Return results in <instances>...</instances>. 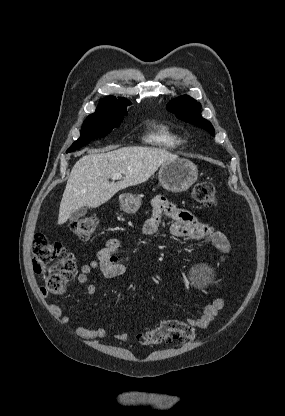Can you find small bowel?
<instances>
[{
	"label": "small bowel",
	"instance_id": "1",
	"mask_svg": "<svg viewBox=\"0 0 285 416\" xmlns=\"http://www.w3.org/2000/svg\"><path fill=\"white\" fill-rule=\"evenodd\" d=\"M165 216L172 220L169 233L174 237L208 242L223 255L230 253V242L223 232L198 221L191 212L177 208L162 196H157L153 199L152 214L143 225V234H155L159 230ZM121 249L122 244L118 239H110L99 250L95 260L81 266L80 272L77 275V282L85 286L86 293L89 296H93L96 292L95 285L90 281V274L94 270H99L108 279L121 277L126 273V267L119 257ZM41 293L43 296H47L48 294L44 288ZM223 307L224 300L222 298H215L210 305L204 307L202 313L197 318H188L185 323L192 327L206 328ZM49 309L60 323L69 324L71 322V317L66 315L59 305L52 303ZM76 334L83 339L89 340L113 338L118 341H126L129 339L128 333L122 332L112 336L105 327L89 329L80 325L76 327Z\"/></svg>",
	"mask_w": 285,
	"mask_h": 416
}]
</instances>
